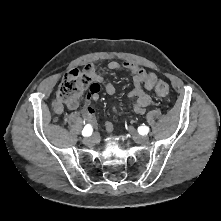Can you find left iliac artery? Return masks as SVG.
I'll list each match as a JSON object with an SVG mask.
<instances>
[{
	"label": "left iliac artery",
	"mask_w": 221,
	"mask_h": 221,
	"mask_svg": "<svg viewBox=\"0 0 221 221\" xmlns=\"http://www.w3.org/2000/svg\"><path fill=\"white\" fill-rule=\"evenodd\" d=\"M149 131H150V129H149V127L146 126V125H143V126L138 127V132H139L141 135L148 134Z\"/></svg>",
	"instance_id": "left-iliac-artery-1"
}]
</instances>
